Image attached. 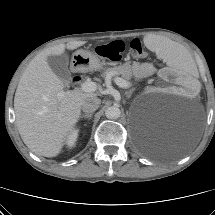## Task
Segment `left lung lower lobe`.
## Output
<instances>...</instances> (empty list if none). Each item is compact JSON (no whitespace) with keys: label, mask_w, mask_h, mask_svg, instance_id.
I'll list each match as a JSON object with an SVG mask.
<instances>
[{"label":"left lung lower lobe","mask_w":215,"mask_h":215,"mask_svg":"<svg viewBox=\"0 0 215 215\" xmlns=\"http://www.w3.org/2000/svg\"><path fill=\"white\" fill-rule=\"evenodd\" d=\"M178 149H176L174 146H169L167 147V149H164V150H161V153L163 155H166V156H171V155H176L178 154ZM150 153V152H149Z\"/></svg>","instance_id":"left-lung-lower-lobe-1"}]
</instances>
